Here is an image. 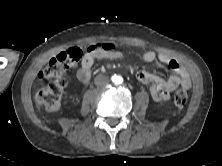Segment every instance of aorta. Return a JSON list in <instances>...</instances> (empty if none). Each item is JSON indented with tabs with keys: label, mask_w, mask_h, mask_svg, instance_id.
<instances>
[{
	"label": "aorta",
	"mask_w": 222,
	"mask_h": 166,
	"mask_svg": "<svg viewBox=\"0 0 222 166\" xmlns=\"http://www.w3.org/2000/svg\"><path fill=\"white\" fill-rule=\"evenodd\" d=\"M113 82L116 84H121L123 82V78L121 76H114Z\"/></svg>",
	"instance_id": "obj_1"
}]
</instances>
